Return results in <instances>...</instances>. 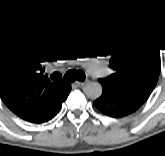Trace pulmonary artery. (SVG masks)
Listing matches in <instances>:
<instances>
[{"instance_id": "pulmonary-artery-1", "label": "pulmonary artery", "mask_w": 165, "mask_h": 156, "mask_svg": "<svg viewBox=\"0 0 165 156\" xmlns=\"http://www.w3.org/2000/svg\"><path fill=\"white\" fill-rule=\"evenodd\" d=\"M84 63H85V65H86L88 68H90V66H89L88 62H84Z\"/></svg>"}]
</instances>
